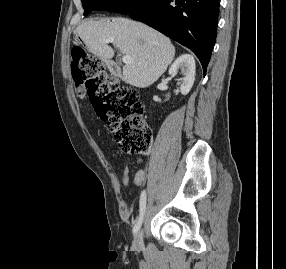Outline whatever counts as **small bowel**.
Wrapping results in <instances>:
<instances>
[{"instance_id":"c3829d8e","label":"small bowel","mask_w":286,"mask_h":269,"mask_svg":"<svg viewBox=\"0 0 286 269\" xmlns=\"http://www.w3.org/2000/svg\"><path fill=\"white\" fill-rule=\"evenodd\" d=\"M80 94L82 95V91H80ZM146 178V173L143 168L137 169L135 172L134 178H133V184L136 186H140L144 183ZM121 179L124 185H128V170L127 168H124L121 172Z\"/></svg>"}]
</instances>
